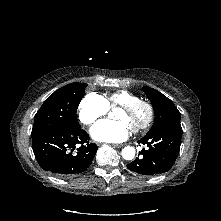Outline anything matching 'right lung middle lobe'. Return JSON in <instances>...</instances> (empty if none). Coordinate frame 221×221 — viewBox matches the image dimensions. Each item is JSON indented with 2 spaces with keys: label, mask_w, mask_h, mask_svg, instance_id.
I'll use <instances>...</instances> for the list:
<instances>
[{
  "label": "right lung middle lobe",
  "mask_w": 221,
  "mask_h": 221,
  "mask_svg": "<svg viewBox=\"0 0 221 221\" xmlns=\"http://www.w3.org/2000/svg\"><path fill=\"white\" fill-rule=\"evenodd\" d=\"M87 84L71 83L48 97L34 116L32 137L50 128H79L76 111Z\"/></svg>",
  "instance_id": "right-lung-middle-lobe-1"
}]
</instances>
